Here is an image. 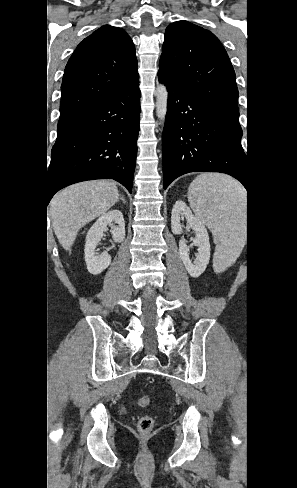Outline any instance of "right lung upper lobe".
Masks as SVG:
<instances>
[{"instance_id":"1","label":"right lung upper lobe","mask_w":297,"mask_h":488,"mask_svg":"<svg viewBox=\"0 0 297 488\" xmlns=\"http://www.w3.org/2000/svg\"><path fill=\"white\" fill-rule=\"evenodd\" d=\"M135 47L120 28L104 25L86 37L63 76L60 119L64 121L139 77Z\"/></svg>"}]
</instances>
